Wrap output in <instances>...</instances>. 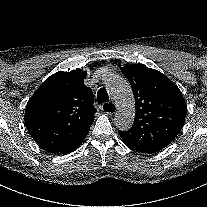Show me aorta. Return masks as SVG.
I'll return each mask as SVG.
<instances>
[{
    "label": "aorta",
    "mask_w": 207,
    "mask_h": 207,
    "mask_svg": "<svg viewBox=\"0 0 207 207\" xmlns=\"http://www.w3.org/2000/svg\"><path fill=\"white\" fill-rule=\"evenodd\" d=\"M105 84L118 106L114 117L115 126L122 131L130 129L135 116V101L130 84L117 74H109Z\"/></svg>",
    "instance_id": "1"
}]
</instances>
